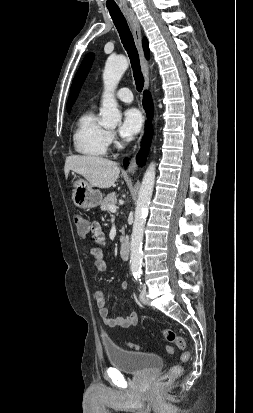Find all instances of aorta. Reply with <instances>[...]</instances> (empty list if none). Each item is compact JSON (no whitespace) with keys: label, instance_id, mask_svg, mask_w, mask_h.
Instances as JSON below:
<instances>
[{"label":"aorta","instance_id":"1","mask_svg":"<svg viewBox=\"0 0 253 413\" xmlns=\"http://www.w3.org/2000/svg\"><path fill=\"white\" fill-rule=\"evenodd\" d=\"M129 61L125 56L109 57L103 72V105L100 109L101 124L105 127H116L121 121V113L114 97L122 75L127 70ZM156 175V164L151 162L148 166L138 192L130 242V268L133 273L141 271L142 241L148 206L152 197Z\"/></svg>","mask_w":253,"mask_h":413}]
</instances>
